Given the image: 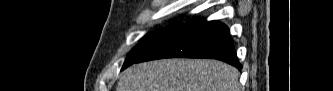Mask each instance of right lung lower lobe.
<instances>
[{
	"mask_svg": "<svg viewBox=\"0 0 333 91\" xmlns=\"http://www.w3.org/2000/svg\"><path fill=\"white\" fill-rule=\"evenodd\" d=\"M161 58H212L242 68L227 26L203 18L185 23L135 63Z\"/></svg>",
	"mask_w": 333,
	"mask_h": 91,
	"instance_id": "98d812e1",
	"label": "right lung lower lobe"
}]
</instances>
